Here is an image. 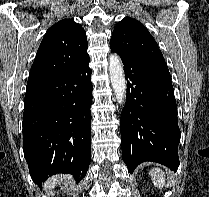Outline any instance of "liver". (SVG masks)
Listing matches in <instances>:
<instances>
[{
  "mask_svg": "<svg viewBox=\"0 0 209 197\" xmlns=\"http://www.w3.org/2000/svg\"><path fill=\"white\" fill-rule=\"evenodd\" d=\"M64 176H59V177H55L53 179H50V181L47 183V185L49 187H55V185L59 182V181H63Z\"/></svg>",
  "mask_w": 209,
  "mask_h": 197,
  "instance_id": "liver-1",
  "label": "liver"
}]
</instances>
